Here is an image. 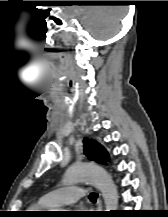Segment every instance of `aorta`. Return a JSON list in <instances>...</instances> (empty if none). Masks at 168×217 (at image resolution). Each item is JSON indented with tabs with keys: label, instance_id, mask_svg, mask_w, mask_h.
I'll use <instances>...</instances> for the list:
<instances>
[{
	"label": "aorta",
	"instance_id": "aorta-1",
	"mask_svg": "<svg viewBox=\"0 0 168 217\" xmlns=\"http://www.w3.org/2000/svg\"><path fill=\"white\" fill-rule=\"evenodd\" d=\"M79 181L89 182L101 191L107 211L117 210V187L105 169L92 163L73 165L66 171L63 183L71 185Z\"/></svg>",
	"mask_w": 168,
	"mask_h": 217
}]
</instances>
